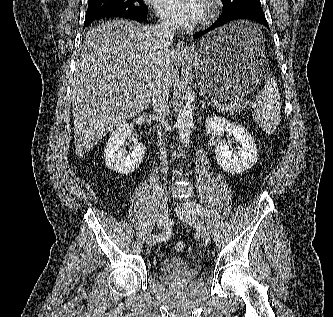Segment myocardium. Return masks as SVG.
Masks as SVG:
<instances>
[{"label":"myocardium","mask_w":333,"mask_h":317,"mask_svg":"<svg viewBox=\"0 0 333 317\" xmlns=\"http://www.w3.org/2000/svg\"><path fill=\"white\" fill-rule=\"evenodd\" d=\"M220 9L219 0H205L204 3V13H203V22L207 23L212 18H214Z\"/></svg>","instance_id":"f54148a6"}]
</instances>
